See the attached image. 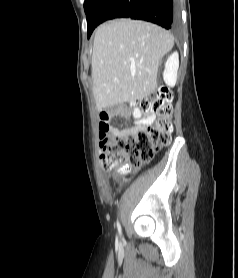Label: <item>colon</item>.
<instances>
[{"instance_id": "1", "label": "colon", "mask_w": 238, "mask_h": 278, "mask_svg": "<svg viewBox=\"0 0 238 278\" xmlns=\"http://www.w3.org/2000/svg\"><path fill=\"white\" fill-rule=\"evenodd\" d=\"M172 100L171 92L163 89L139 101L137 108L153 114L155 121L146 128L122 131L103 139L102 168L113 173H125L150 162L158 150L169 145L173 131ZM108 130L106 122L99 123L100 136L103 137Z\"/></svg>"}]
</instances>
